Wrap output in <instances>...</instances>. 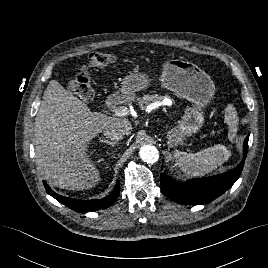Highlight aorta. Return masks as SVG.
Instances as JSON below:
<instances>
[{
	"label": "aorta",
	"instance_id": "obj_1",
	"mask_svg": "<svg viewBox=\"0 0 268 268\" xmlns=\"http://www.w3.org/2000/svg\"><path fill=\"white\" fill-rule=\"evenodd\" d=\"M140 158L149 164H154L159 159V151L154 145H144L139 151Z\"/></svg>",
	"mask_w": 268,
	"mask_h": 268
}]
</instances>
